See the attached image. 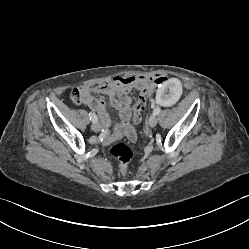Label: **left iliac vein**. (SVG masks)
I'll use <instances>...</instances> for the list:
<instances>
[{
	"mask_svg": "<svg viewBox=\"0 0 249 249\" xmlns=\"http://www.w3.org/2000/svg\"><path fill=\"white\" fill-rule=\"evenodd\" d=\"M158 119L156 117V115H151L148 121V124L151 128L155 127L157 125Z\"/></svg>",
	"mask_w": 249,
	"mask_h": 249,
	"instance_id": "1",
	"label": "left iliac vein"
}]
</instances>
